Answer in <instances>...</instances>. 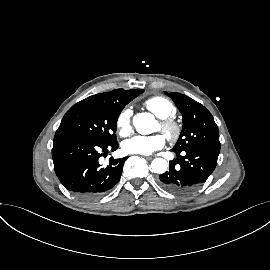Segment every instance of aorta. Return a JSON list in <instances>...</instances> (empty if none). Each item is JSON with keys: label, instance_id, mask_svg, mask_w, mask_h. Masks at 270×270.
<instances>
[{"label": "aorta", "instance_id": "762f6f07", "mask_svg": "<svg viewBox=\"0 0 270 270\" xmlns=\"http://www.w3.org/2000/svg\"><path fill=\"white\" fill-rule=\"evenodd\" d=\"M133 124L137 132L146 135L154 131L156 120L152 114L138 113L133 118ZM168 168V163L163 158H155L151 163V169L154 173L162 174Z\"/></svg>", "mask_w": 270, "mask_h": 270}]
</instances>
